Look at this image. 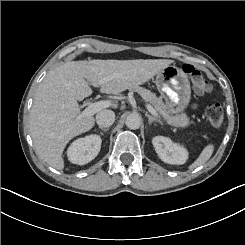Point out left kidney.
<instances>
[{
	"instance_id": "left-kidney-1",
	"label": "left kidney",
	"mask_w": 245,
	"mask_h": 245,
	"mask_svg": "<svg viewBox=\"0 0 245 245\" xmlns=\"http://www.w3.org/2000/svg\"><path fill=\"white\" fill-rule=\"evenodd\" d=\"M152 144L158 157L165 163L182 165L189 157L188 149L169 137L155 136L152 138Z\"/></svg>"
}]
</instances>
